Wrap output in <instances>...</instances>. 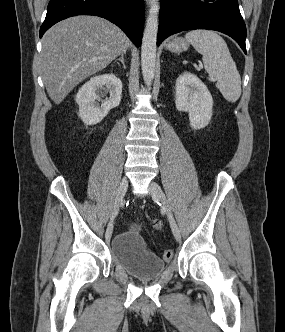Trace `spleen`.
<instances>
[{
  "instance_id": "obj_1",
  "label": "spleen",
  "mask_w": 285,
  "mask_h": 332,
  "mask_svg": "<svg viewBox=\"0 0 285 332\" xmlns=\"http://www.w3.org/2000/svg\"><path fill=\"white\" fill-rule=\"evenodd\" d=\"M197 52L203 55L206 72L217 80V88L229 102L241 96V77L225 40L215 31L193 30L185 35Z\"/></svg>"
}]
</instances>
